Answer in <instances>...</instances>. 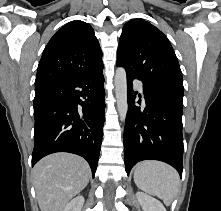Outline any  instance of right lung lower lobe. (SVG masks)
Listing matches in <instances>:
<instances>
[{
  "instance_id": "obj_1",
  "label": "right lung lower lobe",
  "mask_w": 221,
  "mask_h": 211,
  "mask_svg": "<svg viewBox=\"0 0 221 211\" xmlns=\"http://www.w3.org/2000/svg\"><path fill=\"white\" fill-rule=\"evenodd\" d=\"M102 69L35 91L32 166L48 154L69 152L85 158L94 177L105 121Z\"/></svg>"
}]
</instances>
